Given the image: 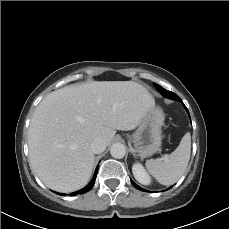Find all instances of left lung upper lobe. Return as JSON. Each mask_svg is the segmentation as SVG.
Returning a JSON list of instances; mask_svg holds the SVG:
<instances>
[{
	"label": "left lung upper lobe",
	"mask_w": 229,
	"mask_h": 229,
	"mask_svg": "<svg viewBox=\"0 0 229 229\" xmlns=\"http://www.w3.org/2000/svg\"><path fill=\"white\" fill-rule=\"evenodd\" d=\"M154 86L166 97L168 98H173L175 93L171 92V91H167L164 88H162L160 85L154 83Z\"/></svg>",
	"instance_id": "5c2ea615"
}]
</instances>
